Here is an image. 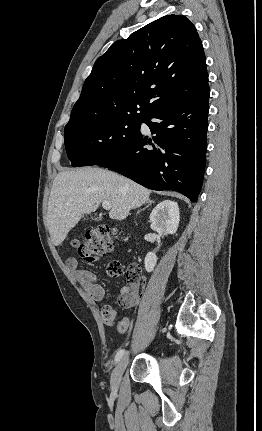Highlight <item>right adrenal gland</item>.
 I'll return each instance as SVG.
<instances>
[{
  "mask_svg": "<svg viewBox=\"0 0 262 431\" xmlns=\"http://www.w3.org/2000/svg\"><path fill=\"white\" fill-rule=\"evenodd\" d=\"M152 203H154V201H153V200L148 201L147 206H145V207H144L143 209H141V210H138L137 214H139L142 210H145L146 208H148Z\"/></svg>",
  "mask_w": 262,
  "mask_h": 431,
  "instance_id": "obj_1",
  "label": "right adrenal gland"
}]
</instances>
